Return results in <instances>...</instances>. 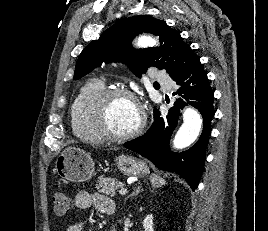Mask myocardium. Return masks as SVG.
<instances>
[{
  "label": "myocardium",
  "instance_id": "1",
  "mask_svg": "<svg viewBox=\"0 0 268 231\" xmlns=\"http://www.w3.org/2000/svg\"><path fill=\"white\" fill-rule=\"evenodd\" d=\"M117 97H128L132 99L140 109V122L132 131L126 133H116L113 132L108 125V106L110 102ZM91 116L93 125L98 135L113 142H120L136 137L144 130L147 121L146 112L140 99L132 91L123 87L105 88L101 93H99L93 101Z\"/></svg>",
  "mask_w": 268,
  "mask_h": 231
}]
</instances>
